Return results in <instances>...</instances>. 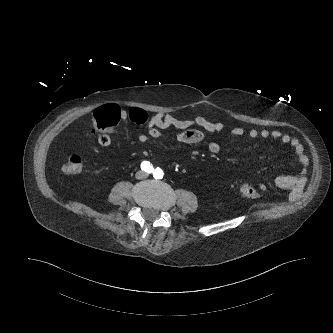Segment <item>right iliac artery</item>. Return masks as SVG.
I'll use <instances>...</instances> for the list:
<instances>
[{"label": "right iliac artery", "instance_id": "82829eb1", "mask_svg": "<svg viewBox=\"0 0 333 333\" xmlns=\"http://www.w3.org/2000/svg\"><path fill=\"white\" fill-rule=\"evenodd\" d=\"M141 169L146 173H152L154 171L152 164L148 161H143L141 163Z\"/></svg>", "mask_w": 333, "mask_h": 333}]
</instances>
